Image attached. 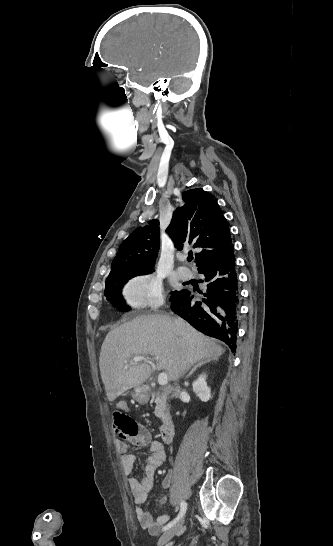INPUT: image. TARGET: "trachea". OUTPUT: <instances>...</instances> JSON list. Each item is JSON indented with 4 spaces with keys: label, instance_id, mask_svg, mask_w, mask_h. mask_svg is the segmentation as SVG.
Masks as SVG:
<instances>
[{
    "label": "trachea",
    "instance_id": "3493384b",
    "mask_svg": "<svg viewBox=\"0 0 333 546\" xmlns=\"http://www.w3.org/2000/svg\"><path fill=\"white\" fill-rule=\"evenodd\" d=\"M192 259H193V256H188V257H187V260H188L189 262L192 261Z\"/></svg>",
    "mask_w": 333,
    "mask_h": 546
}]
</instances>
